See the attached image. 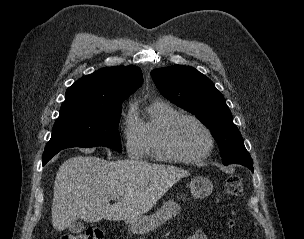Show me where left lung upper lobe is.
Listing matches in <instances>:
<instances>
[{"mask_svg":"<svg viewBox=\"0 0 304 239\" xmlns=\"http://www.w3.org/2000/svg\"><path fill=\"white\" fill-rule=\"evenodd\" d=\"M151 76L160 93L196 115L218 143L223 164H241L253 171V161L233 123L223 95L212 81L191 66L154 69Z\"/></svg>","mask_w":304,"mask_h":239,"instance_id":"obj_1","label":"left lung upper lobe"}]
</instances>
